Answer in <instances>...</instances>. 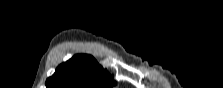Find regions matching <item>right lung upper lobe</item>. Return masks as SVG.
Segmentation results:
<instances>
[{
  "mask_svg": "<svg viewBox=\"0 0 223 88\" xmlns=\"http://www.w3.org/2000/svg\"><path fill=\"white\" fill-rule=\"evenodd\" d=\"M113 80L90 55L78 54L59 65L46 81L47 88H110Z\"/></svg>",
  "mask_w": 223,
  "mask_h": 88,
  "instance_id": "cb5924a9",
  "label": "right lung upper lobe"
}]
</instances>
